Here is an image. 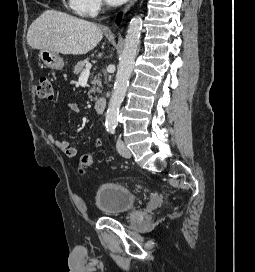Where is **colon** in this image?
I'll return each mask as SVG.
<instances>
[{
  "label": "colon",
  "mask_w": 255,
  "mask_h": 272,
  "mask_svg": "<svg viewBox=\"0 0 255 272\" xmlns=\"http://www.w3.org/2000/svg\"><path fill=\"white\" fill-rule=\"evenodd\" d=\"M38 96L43 99H53V87L52 81L49 77H42L38 85ZM92 159L89 155H85L80 160V166L82 169L91 165Z\"/></svg>",
  "instance_id": "5ec220e1"
}]
</instances>
